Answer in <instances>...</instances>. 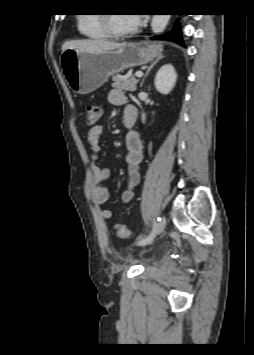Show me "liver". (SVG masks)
Wrapping results in <instances>:
<instances>
[{
	"label": "liver",
	"mask_w": 254,
	"mask_h": 355,
	"mask_svg": "<svg viewBox=\"0 0 254 355\" xmlns=\"http://www.w3.org/2000/svg\"><path fill=\"white\" fill-rule=\"evenodd\" d=\"M125 43H116L106 40L82 39L67 41L62 45V52L67 49H74L79 52H99L116 50L123 47Z\"/></svg>",
	"instance_id": "1"
}]
</instances>
